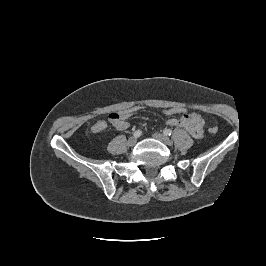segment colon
<instances>
[{
    "label": "colon",
    "mask_w": 266,
    "mask_h": 266,
    "mask_svg": "<svg viewBox=\"0 0 266 266\" xmlns=\"http://www.w3.org/2000/svg\"><path fill=\"white\" fill-rule=\"evenodd\" d=\"M141 110H142V107L139 105H136L124 111L113 112L108 116V119L111 124L115 125L116 123L122 120L128 119L129 117L133 116L135 113ZM162 113L167 116H174V115H179V114L185 115L187 113V110L185 107H182V106H173V107H167V108L162 109ZM208 131L210 133L215 134L217 133L218 128L216 126H213V127H210Z\"/></svg>",
    "instance_id": "colon-1"
}]
</instances>
